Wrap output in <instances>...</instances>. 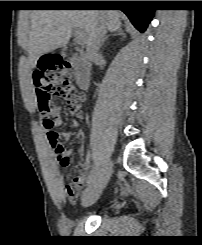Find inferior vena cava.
I'll list each match as a JSON object with an SVG mask.
<instances>
[{
  "instance_id": "inferior-vena-cava-1",
  "label": "inferior vena cava",
  "mask_w": 202,
  "mask_h": 245,
  "mask_svg": "<svg viewBox=\"0 0 202 245\" xmlns=\"http://www.w3.org/2000/svg\"><path fill=\"white\" fill-rule=\"evenodd\" d=\"M106 32L107 28L105 23L100 21L87 47V57L90 60H94L99 56V49L105 39Z\"/></svg>"
}]
</instances>
